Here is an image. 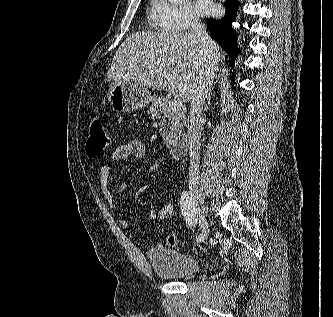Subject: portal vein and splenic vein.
<instances>
[{"mask_svg":"<svg viewBox=\"0 0 333 317\" xmlns=\"http://www.w3.org/2000/svg\"><path fill=\"white\" fill-rule=\"evenodd\" d=\"M182 107H183V102L180 99L173 100L172 102L169 103V109L174 112L181 110Z\"/></svg>","mask_w":333,"mask_h":317,"instance_id":"18ae733b","label":"portal vein and splenic vein"}]
</instances>
